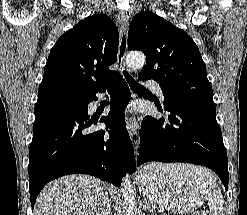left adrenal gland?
<instances>
[{"mask_svg": "<svg viewBox=\"0 0 247 215\" xmlns=\"http://www.w3.org/2000/svg\"><path fill=\"white\" fill-rule=\"evenodd\" d=\"M143 203H144L143 206H144L145 209L149 210L150 212H153V209H151V207H150V205L148 204V202H147L146 199H144Z\"/></svg>", "mask_w": 247, "mask_h": 215, "instance_id": "1", "label": "left adrenal gland"}]
</instances>
